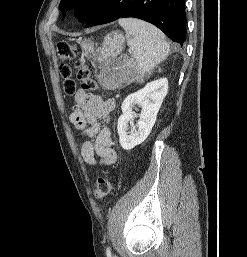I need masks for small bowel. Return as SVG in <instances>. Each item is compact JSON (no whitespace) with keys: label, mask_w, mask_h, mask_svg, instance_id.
<instances>
[{"label":"small bowel","mask_w":247,"mask_h":257,"mask_svg":"<svg viewBox=\"0 0 247 257\" xmlns=\"http://www.w3.org/2000/svg\"><path fill=\"white\" fill-rule=\"evenodd\" d=\"M75 106L70 114L71 123L88 138L81 148L83 160L88 165H110L116 161L110 127L100 122H109L115 107L113 99L104 100L85 90L75 94Z\"/></svg>","instance_id":"small-bowel-1"}]
</instances>
